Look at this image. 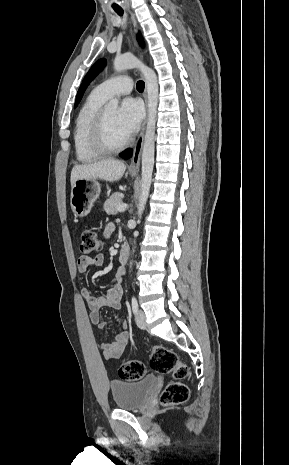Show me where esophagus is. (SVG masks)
Returning <instances> with one entry per match:
<instances>
[{"mask_svg":"<svg viewBox=\"0 0 289 465\" xmlns=\"http://www.w3.org/2000/svg\"><path fill=\"white\" fill-rule=\"evenodd\" d=\"M130 15H131V21H132L134 30H135V32H137V27L138 26H137L136 18L134 16V14L131 13V12H130ZM139 57H140L141 61L143 62L144 58H143V55L141 53L139 54ZM144 98H145V104H146V109H147L146 86H145V91H144ZM146 122H147V118L144 120V123L142 125V129H141V131L139 133L137 141L135 142V144L133 146V154H132V158H131L130 165H129V170L130 171H139V169H140L141 152H142L143 143H144V134H145Z\"/></svg>","mask_w":289,"mask_h":465,"instance_id":"esophagus-1","label":"esophagus"}]
</instances>
